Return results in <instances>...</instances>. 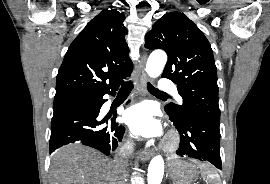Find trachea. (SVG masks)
I'll list each match as a JSON object with an SVG mask.
<instances>
[{"mask_svg": "<svg viewBox=\"0 0 270 184\" xmlns=\"http://www.w3.org/2000/svg\"><path fill=\"white\" fill-rule=\"evenodd\" d=\"M133 88V84L132 82H126L124 83L122 86H121V91H131ZM148 89L150 92L152 93H156V94H159V95H166L165 93L159 91L158 89H156L155 87H153L150 83H148Z\"/></svg>", "mask_w": 270, "mask_h": 184, "instance_id": "1", "label": "trachea"}]
</instances>
